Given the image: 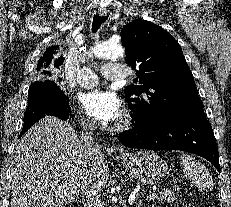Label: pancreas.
Returning a JSON list of instances; mask_svg holds the SVG:
<instances>
[{"label":"pancreas","mask_w":231,"mask_h":207,"mask_svg":"<svg viewBox=\"0 0 231 207\" xmlns=\"http://www.w3.org/2000/svg\"><path fill=\"white\" fill-rule=\"evenodd\" d=\"M158 195L160 200H164L168 203H171L175 200L174 193L172 191L164 190L159 192Z\"/></svg>","instance_id":"cf45deb5"}]
</instances>
